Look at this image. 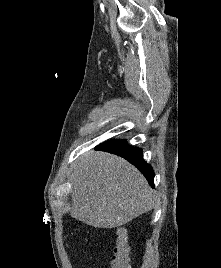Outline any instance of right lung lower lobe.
I'll use <instances>...</instances> for the list:
<instances>
[{
    "label": "right lung lower lobe",
    "instance_id": "obj_1",
    "mask_svg": "<svg viewBox=\"0 0 221 268\" xmlns=\"http://www.w3.org/2000/svg\"><path fill=\"white\" fill-rule=\"evenodd\" d=\"M96 149L107 151L125 158L135 167H137L146 177L149 184L154 187V172L151 165L144 161L142 149L128 145L126 140L113 139L98 145Z\"/></svg>",
    "mask_w": 221,
    "mask_h": 268
}]
</instances>
